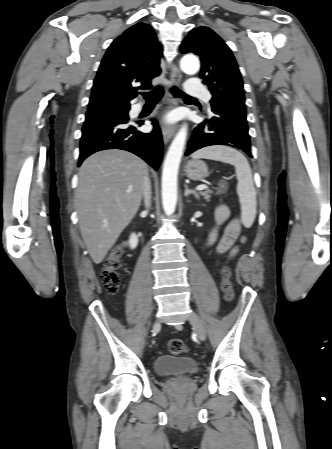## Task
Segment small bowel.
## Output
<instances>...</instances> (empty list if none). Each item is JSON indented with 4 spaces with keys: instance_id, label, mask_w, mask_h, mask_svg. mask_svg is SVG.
<instances>
[{
    "instance_id": "c3829d8e",
    "label": "small bowel",
    "mask_w": 332,
    "mask_h": 449,
    "mask_svg": "<svg viewBox=\"0 0 332 449\" xmlns=\"http://www.w3.org/2000/svg\"><path fill=\"white\" fill-rule=\"evenodd\" d=\"M216 225L210 235L211 244H216L217 253L235 254L236 240L243 238L240 235L241 226L236 218H232L227 206L219 205L215 213Z\"/></svg>"
}]
</instances>
